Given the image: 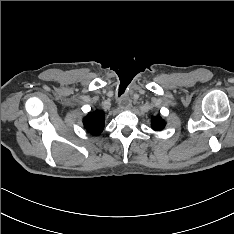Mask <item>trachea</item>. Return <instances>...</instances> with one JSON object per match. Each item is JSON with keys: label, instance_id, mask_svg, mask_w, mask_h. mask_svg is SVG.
Segmentation results:
<instances>
[{"label": "trachea", "instance_id": "trachea-1", "mask_svg": "<svg viewBox=\"0 0 234 234\" xmlns=\"http://www.w3.org/2000/svg\"><path fill=\"white\" fill-rule=\"evenodd\" d=\"M124 93V89L119 88L118 96L120 97Z\"/></svg>", "mask_w": 234, "mask_h": 234}]
</instances>
